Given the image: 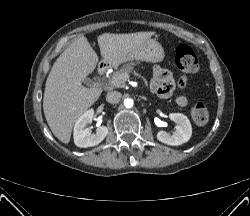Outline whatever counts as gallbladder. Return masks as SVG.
Returning <instances> with one entry per match:
<instances>
[{"label":"gallbladder","mask_w":250,"mask_h":216,"mask_svg":"<svg viewBox=\"0 0 250 216\" xmlns=\"http://www.w3.org/2000/svg\"><path fill=\"white\" fill-rule=\"evenodd\" d=\"M83 82H85L87 85L92 83V81L90 79H84Z\"/></svg>","instance_id":"obj_1"}]
</instances>
